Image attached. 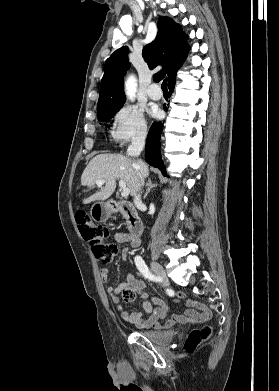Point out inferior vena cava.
Segmentation results:
<instances>
[{
    "mask_svg": "<svg viewBox=\"0 0 279 391\" xmlns=\"http://www.w3.org/2000/svg\"><path fill=\"white\" fill-rule=\"evenodd\" d=\"M147 136V131L146 130H141L135 138H133L132 143L127 149V154L130 156H139L141 151L143 150L145 146V140ZM137 176L139 180L141 181V184L143 185L144 180L140 172H137ZM134 203L138 204L141 203V195L138 194L135 196Z\"/></svg>",
    "mask_w": 279,
    "mask_h": 391,
    "instance_id": "602c4592",
    "label": "inferior vena cava"
}]
</instances>
